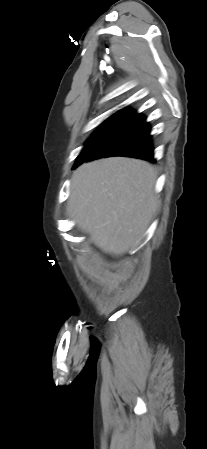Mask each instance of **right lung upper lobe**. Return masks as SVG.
I'll use <instances>...</instances> for the list:
<instances>
[{
  "label": "right lung upper lobe",
  "mask_w": 207,
  "mask_h": 449,
  "mask_svg": "<svg viewBox=\"0 0 207 449\" xmlns=\"http://www.w3.org/2000/svg\"><path fill=\"white\" fill-rule=\"evenodd\" d=\"M119 112H121V113H132L130 111H123V110H120Z\"/></svg>",
  "instance_id": "obj_1"
}]
</instances>
